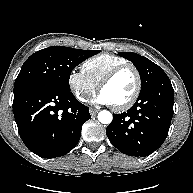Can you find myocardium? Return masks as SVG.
<instances>
[{
  "instance_id": "1",
  "label": "myocardium",
  "mask_w": 193,
  "mask_h": 193,
  "mask_svg": "<svg viewBox=\"0 0 193 193\" xmlns=\"http://www.w3.org/2000/svg\"><path fill=\"white\" fill-rule=\"evenodd\" d=\"M130 69L134 72L136 77V86L133 94L131 97L124 103L120 105H112L113 109L116 111H124L129 108H131L139 98V95L141 93L142 89V78L139 70L135 65L132 63H126L119 65L115 68H113L111 71H109L98 83V90L101 92L102 88L107 85L109 82H111L119 73H121L124 70Z\"/></svg>"
}]
</instances>
